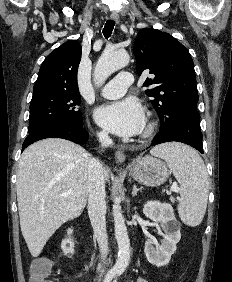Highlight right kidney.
I'll list each match as a JSON object with an SVG mask.
<instances>
[{
  "label": "right kidney",
  "instance_id": "ca27d5eb",
  "mask_svg": "<svg viewBox=\"0 0 232 282\" xmlns=\"http://www.w3.org/2000/svg\"><path fill=\"white\" fill-rule=\"evenodd\" d=\"M72 233H73V230L68 229L67 230L68 238H65L64 240H62L61 249L64 255L74 254V242H73V239L71 238Z\"/></svg>",
  "mask_w": 232,
  "mask_h": 282
}]
</instances>
